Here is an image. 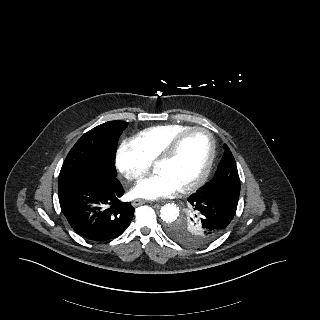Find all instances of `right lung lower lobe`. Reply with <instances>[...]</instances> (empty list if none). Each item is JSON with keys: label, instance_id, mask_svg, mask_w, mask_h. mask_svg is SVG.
<instances>
[{"label": "right lung lower lobe", "instance_id": "1", "mask_svg": "<svg viewBox=\"0 0 320 320\" xmlns=\"http://www.w3.org/2000/svg\"><path fill=\"white\" fill-rule=\"evenodd\" d=\"M59 203L67 221L83 238L104 242L129 226L134 208L119 198L124 189L117 178L90 176L58 187Z\"/></svg>", "mask_w": 320, "mask_h": 320}]
</instances>
